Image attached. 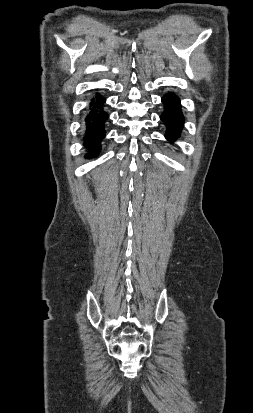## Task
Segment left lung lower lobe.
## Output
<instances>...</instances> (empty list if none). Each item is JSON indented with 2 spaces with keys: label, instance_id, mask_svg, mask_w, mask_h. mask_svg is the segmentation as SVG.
I'll return each mask as SVG.
<instances>
[{
  "label": "left lung lower lobe",
  "instance_id": "0a47b994",
  "mask_svg": "<svg viewBox=\"0 0 253 413\" xmlns=\"http://www.w3.org/2000/svg\"><path fill=\"white\" fill-rule=\"evenodd\" d=\"M162 102L165 104V110L161 115V120L167 126L166 138L173 142L180 135L184 122L180 100L174 94H167L162 98Z\"/></svg>",
  "mask_w": 253,
  "mask_h": 413
}]
</instances>
